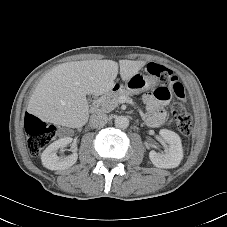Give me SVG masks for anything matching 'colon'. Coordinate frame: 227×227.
Masks as SVG:
<instances>
[{
  "label": "colon",
  "instance_id": "1",
  "mask_svg": "<svg viewBox=\"0 0 227 227\" xmlns=\"http://www.w3.org/2000/svg\"><path fill=\"white\" fill-rule=\"evenodd\" d=\"M148 72L160 79L162 87L169 88L176 95L178 101L171 107L172 117L182 134H190L192 130V116L186 110L183 103L184 88L182 84L173 72L163 65L151 63L148 65ZM24 127L28 134L27 147L31 155H38L57 134L56 126L48 124L32 114H26Z\"/></svg>",
  "mask_w": 227,
  "mask_h": 227
}]
</instances>
